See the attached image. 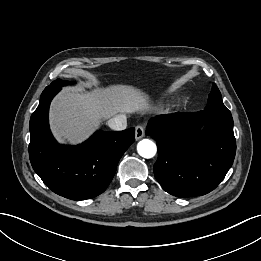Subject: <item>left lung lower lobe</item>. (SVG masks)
<instances>
[{"label": "left lung lower lobe", "mask_w": 261, "mask_h": 261, "mask_svg": "<svg viewBox=\"0 0 261 261\" xmlns=\"http://www.w3.org/2000/svg\"><path fill=\"white\" fill-rule=\"evenodd\" d=\"M201 123L206 124L203 131ZM146 134L157 141L156 179L179 198L215 189L235 158L232 115L205 111L160 115L149 121Z\"/></svg>", "instance_id": "left-lung-lower-lobe-1"}]
</instances>
